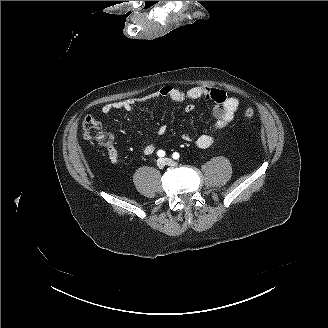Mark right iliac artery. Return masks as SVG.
I'll return each mask as SVG.
<instances>
[{"instance_id":"right-iliac-artery-1","label":"right iliac artery","mask_w":328,"mask_h":328,"mask_svg":"<svg viewBox=\"0 0 328 328\" xmlns=\"http://www.w3.org/2000/svg\"><path fill=\"white\" fill-rule=\"evenodd\" d=\"M157 155H158L159 157H164V156H165V152H164L163 150H159V151L157 152Z\"/></svg>"}]
</instances>
